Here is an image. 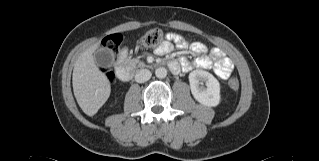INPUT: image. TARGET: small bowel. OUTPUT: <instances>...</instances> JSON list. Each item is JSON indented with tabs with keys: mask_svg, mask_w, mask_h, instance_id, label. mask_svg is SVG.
Listing matches in <instances>:
<instances>
[{
	"mask_svg": "<svg viewBox=\"0 0 319 161\" xmlns=\"http://www.w3.org/2000/svg\"><path fill=\"white\" fill-rule=\"evenodd\" d=\"M171 40H174L180 48H188L198 57L189 61L183 57L180 61L179 68L183 71H190L193 68L213 69L214 73L222 80H226L234 73V64L222 50L212 48L209 54L205 56L208 48L201 42L189 43L187 39L178 34H168L166 39L156 48L155 52L158 55L168 54L172 49ZM179 70V69H178Z\"/></svg>",
	"mask_w": 319,
	"mask_h": 161,
	"instance_id": "small-bowel-1",
	"label": "small bowel"
}]
</instances>
